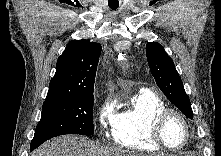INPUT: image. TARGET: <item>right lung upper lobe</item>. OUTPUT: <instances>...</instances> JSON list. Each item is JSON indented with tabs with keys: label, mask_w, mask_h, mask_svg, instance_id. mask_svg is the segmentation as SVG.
Returning a JSON list of instances; mask_svg holds the SVG:
<instances>
[{
	"label": "right lung upper lobe",
	"mask_w": 221,
	"mask_h": 156,
	"mask_svg": "<svg viewBox=\"0 0 221 156\" xmlns=\"http://www.w3.org/2000/svg\"><path fill=\"white\" fill-rule=\"evenodd\" d=\"M101 49L99 43L89 40L69 42L58 58L46 99L72 97L93 91Z\"/></svg>",
	"instance_id": "obj_1"
}]
</instances>
